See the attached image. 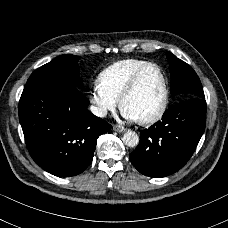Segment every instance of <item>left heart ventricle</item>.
<instances>
[{
  "mask_svg": "<svg viewBox=\"0 0 228 228\" xmlns=\"http://www.w3.org/2000/svg\"><path fill=\"white\" fill-rule=\"evenodd\" d=\"M164 102V84L159 71L151 68L142 76L137 90L127 99L125 111L137 120L155 115Z\"/></svg>",
  "mask_w": 228,
  "mask_h": 228,
  "instance_id": "obj_1",
  "label": "left heart ventricle"
}]
</instances>
